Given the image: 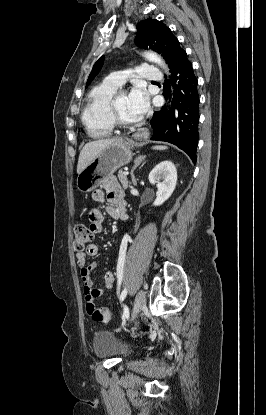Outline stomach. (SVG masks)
Returning a JSON list of instances; mask_svg holds the SVG:
<instances>
[{"label":"stomach","instance_id":"obj_1","mask_svg":"<svg viewBox=\"0 0 266 415\" xmlns=\"http://www.w3.org/2000/svg\"><path fill=\"white\" fill-rule=\"evenodd\" d=\"M132 159L130 144L125 139H118L104 148L96 158L77 177V187L87 193L96 189L117 169L128 164Z\"/></svg>","mask_w":266,"mask_h":415}]
</instances>
